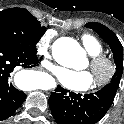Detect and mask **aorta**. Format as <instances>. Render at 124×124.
<instances>
[{"instance_id": "1", "label": "aorta", "mask_w": 124, "mask_h": 124, "mask_svg": "<svg viewBox=\"0 0 124 124\" xmlns=\"http://www.w3.org/2000/svg\"><path fill=\"white\" fill-rule=\"evenodd\" d=\"M54 55L59 61H62V59H64L74 63L84 58L85 52L76 40L69 37H62L55 44ZM55 86V81L53 79H50L47 80L44 88L52 89Z\"/></svg>"}]
</instances>
